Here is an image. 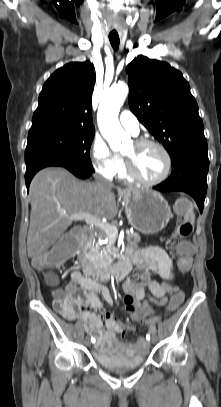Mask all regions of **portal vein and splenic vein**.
<instances>
[{"instance_id": "18ae733b", "label": "portal vein and splenic vein", "mask_w": 221, "mask_h": 407, "mask_svg": "<svg viewBox=\"0 0 221 407\" xmlns=\"http://www.w3.org/2000/svg\"><path fill=\"white\" fill-rule=\"evenodd\" d=\"M67 218L71 220H84L90 226H96L97 228L103 230L107 235L116 237L118 236V230L114 225L103 223L101 220L89 213H76L72 215H66ZM128 232V231H127Z\"/></svg>"}]
</instances>
